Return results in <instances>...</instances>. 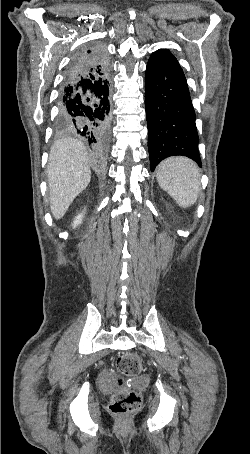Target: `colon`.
I'll return each mask as SVG.
<instances>
[{
	"label": "colon",
	"instance_id": "colon-1",
	"mask_svg": "<svg viewBox=\"0 0 250 454\" xmlns=\"http://www.w3.org/2000/svg\"><path fill=\"white\" fill-rule=\"evenodd\" d=\"M116 385L118 390L112 395L109 410L117 416H124L137 409L141 396L127 385V379L139 375L144 369L142 358L134 352H126L116 360Z\"/></svg>",
	"mask_w": 250,
	"mask_h": 454
}]
</instances>
